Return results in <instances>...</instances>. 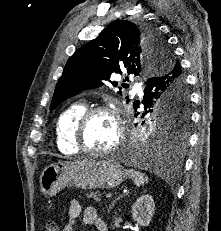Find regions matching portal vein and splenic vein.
Returning a JSON list of instances; mask_svg holds the SVG:
<instances>
[{"label":"portal vein and splenic vein","instance_id":"1","mask_svg":"<svg viewBox=\"0 0 221 231\" xmlns=\"http://www.w3.org/2000/svg\"><path fill=\"white\" fill-rule=\"evenodd\" d=\"M106 198H111L112 197V194L111 193H108V194H105Z\"/></svg>","mask_w":221,"mask_h":231}]
</instances>
